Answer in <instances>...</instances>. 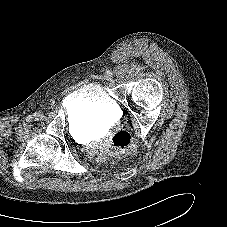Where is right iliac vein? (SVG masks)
<instances>
[{
	"instance_id": "right-iliac-vein-1",
	"label": "right iliac vein",
	"mask_w": 227,
	"mask_h": 227,
	"mask_svg": "<svg viewBox=\"0 0 227 227\" xmlns=\"http://www.w3.org/2000/svg\"><path fill=\"white\" fill-rule=\"evenodd\" d=\"M34 118H35L36 120H42L43 114H42L41 112H36V113L34 114Z\"/></svg>"
}]
</instances>
